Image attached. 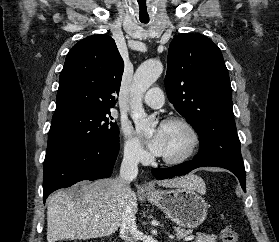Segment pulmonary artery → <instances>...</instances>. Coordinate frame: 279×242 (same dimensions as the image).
Returning <instances> with one entry per match:
<instances>
[{
  "label": "pulmonary artery",
  "instance_id": "e3ab8cb5",
  "mask_svg": "<svg viewBox=\"0 0 279 242\" xmlns=\"http://www.w3.org/2000/svg\"><path fill=\"white\" fill-rule=\"evenodd\" d=\"M146 105L152 108H160L164 104V96L159 88L150 89L143 98Z\"/></svg>",
  "mask_w": 279,
  "mask_h": 242
}]
</instances>
